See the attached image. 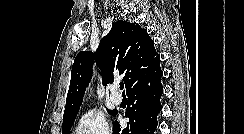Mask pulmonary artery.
<instances>
[{
    "label": "pulmonary artery",
    "mask_w": 244,
    "mask_h": 134,
    "mask_svg": "<svg viewBox=\"0 0 244 134\" xmlns=\"http://www.w3.org/2000/svg\"><path fill=\"white\" fill-rule=\"evenodd\" d=\"M110 100L112 101L113 104L119 105L122 101V97L120 94L117 92V86H113L111 88V94H110Z\"/></svg>",
    "instance_id": "e3ab8cb5"
}]
</instances>
